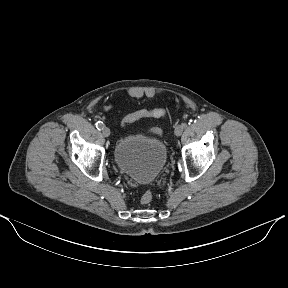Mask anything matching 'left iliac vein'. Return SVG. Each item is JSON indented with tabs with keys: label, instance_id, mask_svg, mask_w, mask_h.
<instances>
[{
	"label": "left iliac vein",
	"instance_id": "left-iliac-vein-1",
	"mask_svg": "<svg viewBox=\"0 0 288 288\" xmlns=\"http://www.w3.org/2000/svg\"><path fill=\"white\" fill-rule=\"evenodd\" d=\"M179 126L180 125H177L174 131L176 136H181L184 131V127L181 129Z\"/></svg>",
	"mask_w": 288,
	"mask_h": 288
}]
</instances>
